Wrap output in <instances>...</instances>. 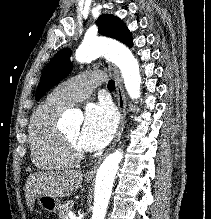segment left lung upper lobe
I'll return each mask as SVG.
<instances>
[{"label":"left lung upper lobe","instance_id":"1","mask_svg":"<svg viewBox=\"0 0 211 219\" xmlns=\"http://www.w3.org/2000/svg\"><path fill=\"white\" fill-rule=\"evenodd\" d=\"M99 33L115 38L129 47L132 46V36L124 22L111 14H103L97 19ZM71 50H60L48 63L44 70L37 91L36 100H39L50 88L65 78L72 70L70 62Z\"/></svg>","mask_w":211,"mask_h":219}]
</instances>
